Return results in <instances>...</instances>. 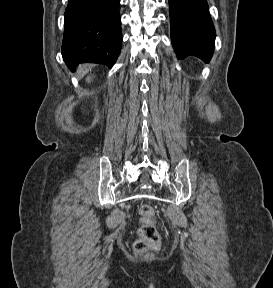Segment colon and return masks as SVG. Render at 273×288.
Masks as SVG:
<instances>
[{"instance_id": "1", "label": "colon", "mask_w": 273, "mask_h": 288, "mask_svg": "<svg viewBox=\"0 0 273 288\" xmlns=\"http://www.w3.org/2000/svg\"><path fill=\"white\" fill-rule=\"evenodd\" d=\"M139 230L138 239L134 243L136 252L157 250L160 246V236L156 228V213L151 205L143 204L138 209Z\"/></svg>"}]
</instances>
